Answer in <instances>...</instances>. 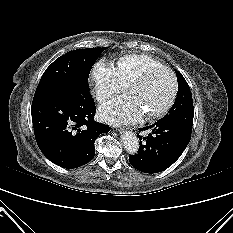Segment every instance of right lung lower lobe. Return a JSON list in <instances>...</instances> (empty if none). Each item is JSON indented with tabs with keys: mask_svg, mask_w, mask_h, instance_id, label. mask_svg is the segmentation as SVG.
Instances as JSON below:
<instances>
[{
	"mask_svg": "<svg viewBox=\"0 0 233 233\" xmlns=\"http://www.w3.org/2000/svg\"><path fill=\"white\" fill-rule=\"evenodd\" d=\"M96 107L91 94L70 93L32 103L36 142L42 153L63 168H77L95 155L94 142L108 125L94 121Z\"/></svg>",
	"mask_w": 233,
	"mask_h": 233,
	"instance_id": "98d812e1",
	"label": "right lung lower lobe"
}]
</instances>
